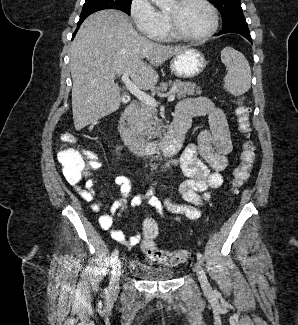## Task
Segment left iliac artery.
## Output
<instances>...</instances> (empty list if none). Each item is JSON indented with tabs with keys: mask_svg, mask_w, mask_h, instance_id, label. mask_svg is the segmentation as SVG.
Listing matches in <instances>:
<instances>
[{
	"mask_svg": "<svg viewBox=\"0 0 298 325\" xmlns=\"http://www.w3.org/2000/svg\"><path fill=\"white\" fill-rule=\"evenodd\" d=\"M197 259H198L199 263L203 264L204 258L201 253H197Z\"/></svg>",
	"mask_w": 298,
	"mask_h": 325,
	"instance_id": "obj_1",
	"label": "left iliac artery"
}]
</instances>
